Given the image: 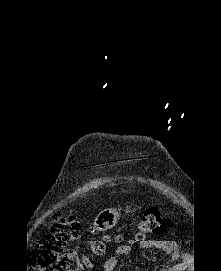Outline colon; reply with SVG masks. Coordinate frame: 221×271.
Masks as SVG:
<instances>
[{
    "label": "colon",
    "instance_id": "5ec220e1",
    "mask_svg": "<svg viewBox=\"0 0 221 271\" xmlns=\"http://www.w3.org/2000/svg\"><path fill=\"white\" fill-rule=\"evenodd\" d=\"M170 226V222L156 208H150L137 223L136 237L163 234ZM82 233L83 228L75 216L56 219L50 233L40 240L32 254L33 266L38 271H86L92 268L94 258L104 253L105 241H91L86 255L67 249L68 243L76 241Z\"/></svg>",
    "mask_w": 221,
    "mask_h": 271
}]
</instances>
